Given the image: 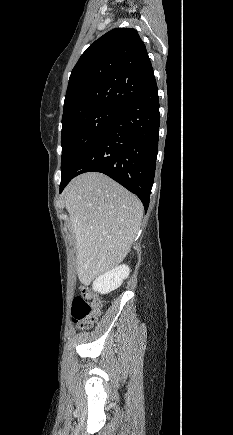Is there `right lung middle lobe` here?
Returning <instances> with one entry per match:
<instances>
[{
	"label": "right lung middle lobe",
	"mask_w": 233,
	"mask_h": 435,
	"mask_svg": "<svg viewBox=\"0 0 233 435\" xmlns=\"http://www.w3.org/2000/svg\"><path fill=\"white\" fill-rule=\"evenodd\" d=\"M121 109L98 107L62 121L61 179L100 137Z\"/></svg>",
	"instance_id": "1"
}]
</instances>
